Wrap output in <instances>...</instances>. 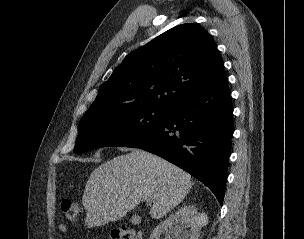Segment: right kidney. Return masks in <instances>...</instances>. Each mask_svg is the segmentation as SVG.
Returning <instances> with one entry per match:
<instances>
[{
  "label": "right kidney",
  "mask_w": 304,
  "mask_h": 239,
  "mask_svg": "<svg viewBox=\"0 0 304 239\" xmlns=\"http://www.w3.org/2000/svg\"><path fill=\"white\" fill-rule=\"evenodd\" d=\"M206 217L198 214L193 205L184 204L169 215L153 230L150 239H158L165 232V239H198Z\"/></svg>",
  "instance_id": "right-kidney-1"
}]
</instances>
